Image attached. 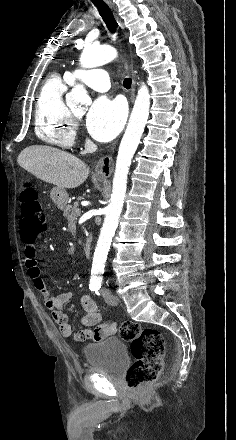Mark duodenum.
<instances>
[{
	"instance_id": "duodenum-1",
	"label": "duodenum",
	"mask_w": 236,
	"mask_h": 440,
	"mask_svg": "<svg viewBox=\"0 0 236 440\" xmlns=\"http://www.w3.org/2000/svg\"><path fill=\"white\" fill-rule=\"evenodd\" d=\"M83 249L85 257H89L92 251V237L90 235L86 237Z\"/></svg>"
}]
</instances>
